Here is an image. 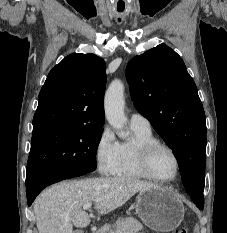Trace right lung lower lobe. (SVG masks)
I'll list each match as a JSON object with an SVG mask.
<instances>
[{"label": "right lung lower lobe", "mask_w": 227, "mask_h": 233, "mask_svg": "<svg viewBox=\"0 0 227 233\" xmlns=\"http://www.w3.org/2000/svg\"><path fill=\"white\" fill-rule=\"evenodd\" d=\"M86 171L67 170L42 175L33 182L26 184L27 201L30 206L36 196L47 186L77 176L86 174Z\"/></svg>", "instance_id": "right-lung-lower-lobe-1"}]
</instances>
